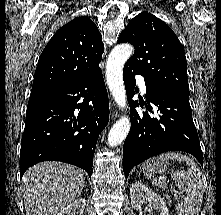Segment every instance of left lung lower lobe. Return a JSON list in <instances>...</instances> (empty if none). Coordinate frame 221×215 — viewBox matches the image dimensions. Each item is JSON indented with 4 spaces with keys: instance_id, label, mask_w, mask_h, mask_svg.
I'll return each mask as SVG.
<instances>
[{
    "instance_id": "obj_1",
    "label": "left lung lower lobe",
    "mask_w": 221,
    "mask_h": 215,
    "mask_svg": "<svg viewBox=\"0 0 221 215\" xmlns=\"http://www.w3.org/2000/svg\"><path fill=\"white\" fill-rule=\"evenodd\" d=\"M135 73L123 69V79L129 100L135 87ZM146 102H132L131 129L123 146V171L130 170L157 154L167 151H184L195 156L203 165L202 151L194 125L189 99L166 92L146 83ZM151 112H138L135 107Z\"/></svg>"
}]
</instances>
